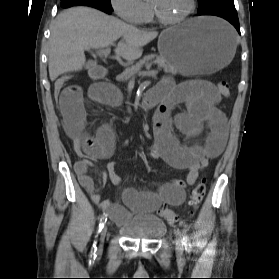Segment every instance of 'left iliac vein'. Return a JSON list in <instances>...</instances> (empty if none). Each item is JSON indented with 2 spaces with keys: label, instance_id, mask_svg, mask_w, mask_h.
I'll return each instance as SVG.
<instances>
[{
  "label": "left iliac vein",
  "instance_id": "1",
  "mask_svg": "<svg viewBox=\"0 0 279 279\" xmlns=\"http://www.w3.org/2000/svg\"><path fill=\"white\" fill-rule=\"evenodd\" d=\"M183 240H182V235L179 231L176 232V251L177 255L179 257H182L183 255Z\"/></svg>",
  "mask_w": 279,
  "mask_h": 279
}]
</instances>
